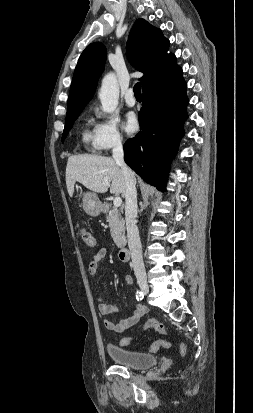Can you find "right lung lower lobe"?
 <instances>
[{
  "mask_svg": "<svg viewBox=\"0 0 253 413\" xmlns=\"http://www.w3.org/2000/svg\"><path fill=\"white\" fill-rule=\"evenodd\" d=\"M187 84L177 68L143 90L138 113L140 132L124 145L125 162L147 183L166 190L171 159L184 135L188 118Z\"/></svg>",
  "mask_w": 253,
  "mask_h": 413,
  "instance_id": "right-lung-lower-lobe-1",
  "label": "right lung lower lobe"
}]
</instances>
